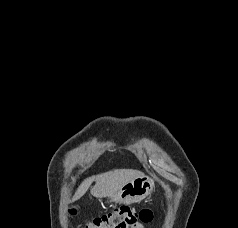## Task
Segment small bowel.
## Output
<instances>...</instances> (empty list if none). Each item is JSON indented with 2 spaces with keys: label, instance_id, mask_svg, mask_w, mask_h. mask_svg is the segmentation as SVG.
<instances>
[{
  "label": "small bowel",
  "instance_id": "obj_1",
  "mask_svg": "<svg viewBox=\"0 0 238 228\" xmlns=\"http://www.w3.org/2000/svg\"><path fill=\"white\" fill-rule=\"evenodd\" d=\"M137 228H144V226L143 225H139Z\"/></svg>",
  "mask_w": 238,
  "mask_h": 228
}]
</instances>
